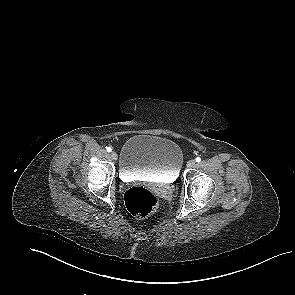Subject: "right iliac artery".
I'll return each instance as SVG.
<instances>
[{
  "mask_svg": "<svg viewBox=\"0 0 295 295\" xmlns=\"http://www.w3.org/2000/svg\"><path fill=\"white\" fill-rule=\"evenodd\" d=\"M107 151L108 152H111L112 151V148L111 147H107Z\"/></svg>",
  "mask_w": 295,
  "mask_h": 295,
  "instance_id": "82829eb1",
  "label": "right iliac artery"
}]
</instances>
